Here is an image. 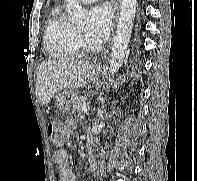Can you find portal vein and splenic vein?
<instances>
[{
    "label": "portal vein and splenic vein",
    "instance_id": "obj_1",
    "mask_svg": "<svg viewBox=\"0 0 197 181\" xmlns=\"http://www.w3.org/2000/svg\"><path fill=\"white\" fill-rule=\"evenodd\" d=\"M89 109H90L89 106L84 105V106L82 107L81 111L84 112V113H86V112H88Z\"/></svg>",
    "mask_w": 197,
    "mask_h": 181
}]
</instances>
